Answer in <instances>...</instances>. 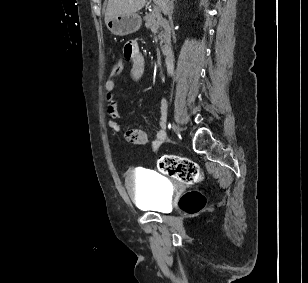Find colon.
I'll return each instance as SVG.
<instances>
[{"mask_svg":"<svg viewBox=\"0 0 308 283\" xmlns=\"http://www.w3.org/2000/svg\"><path fill=\"white\" fill-rule=\"evenodd\" d=\"M123 67L122 60L117 59L113 64L112 74L119 75ZM158 168L162 173L186 184H196L203 179V173L197 163L175 155L161 156L158 160ZM204 204L203 196L196 191L185 193L179 201L180 207L191 214L199 212Z\"/></svg>","mask_w":308,"mask_h":283,"instance_id":"colon-1","label":"colon"}]
</instances>
